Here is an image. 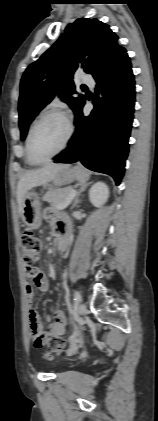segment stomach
I'll return each instance as SVG.
<instances>
[{"label": "stomach", "instance_id": "0dacf381", "mask_svg": "<svg viewBox=\"0 0 158 421\" xmlns=\"http://www.w3.org/2000/svg\"><path fill=\"white\" fill-rule=\"evenodd\" d=\"M89 178V173L80 165L68 166L60 170L53 178L52 182L56 186L70 184L72 182H85ZM21 218L26 226L37 229L41 225V210L39 197L35 192L28 191L24 197Z\"/></svg>", "mask_w": 158, "mask_h": 421}]
</instances>
